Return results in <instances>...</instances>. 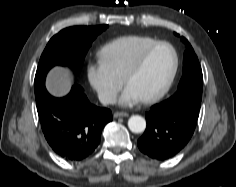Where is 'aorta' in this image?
Listing matches in <instances>:
<instances>
[{"label":"aorta","instance_id":"aorta-1","mask_svg":"<svg viewBox=\"0 0 236 187\" xmlns=\"http://www.w3.org/2000/svg\"><path fill=\"white\" fill-rule=\"evenodd\" d=\"M128 127L133 133H141L146 128V121L142 116L133 115L128 120Z\"/></svg>","mask_w":236,"mask_h":187}]
</instances>
